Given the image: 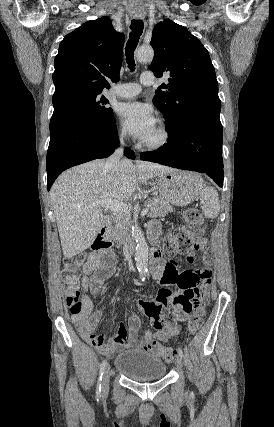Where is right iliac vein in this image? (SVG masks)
Masks as SVG:
<instances>
[{
    "label": "right iliac vein",
    "mask_w": 274,
    "mask_h": 427,
    "mask_svg": "<svg viewBox=\"0 0 274 427\" xmlns=\"http://www.w3.org/2000/svg\"><path fill=\"white\" fill-rule=\"evenodd\" d=\"M110 377H111V370H110V366L108 365L105 368L103 379H102V392L103 393H106L108 391Z\"/></svg>",
    "instance_id": "1"
}]
</instances>
